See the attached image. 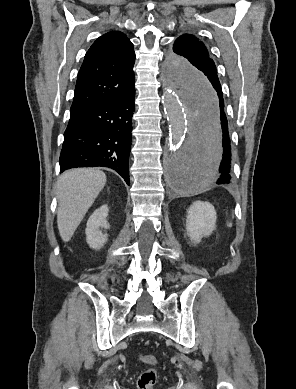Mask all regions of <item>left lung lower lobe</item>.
Listing matches in <instances>:
<instances>
[{"mask_svg":"<svg viewBox=\"0 0 296 389\" xmlns=\"http://www.w3.org/2000/svg\"><path fill=\"white\" fill-rule=\"evenodd\" d=\"M201 88L207 90L215 98L217 124L204 128L201 137L197 132L192 131L187 149L178 160L176 172L179 177H182L180 174L183 172L186 173L187 177H193L203 157L208 154L211 148H215L218 166L213 177L217 178V184L229 183L231 179L230 127L217 72L212 73L206 79L202 78ZM179 185L182 184L179 183Z\"/></svg>","mask_w":296,"mask_h":389,"instance_id":"left-lung-lower-lobe-1","label":"left lung lower lobe"}]
</instances>
